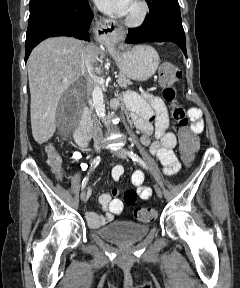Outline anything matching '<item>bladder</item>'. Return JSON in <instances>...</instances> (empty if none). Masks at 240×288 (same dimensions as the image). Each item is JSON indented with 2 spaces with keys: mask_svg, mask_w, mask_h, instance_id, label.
<instances>
[{
  "mask_svg": "<svg viewBox=\"0 0 240 288\" xmlns=\"http://www.w3.org/2000/svg\"><path fill=\"white\" fill-rule=\"evenodd\" d=\"M96 232L111 242L130 243L144 238L149 232V227L132 221L115 220L97 229Z\"/></svg>",
  "mask_w": 240,
  "mask_h": 288,
  "instance_id": "bladder-1",
  "label": "bladder"
}]
</instances>
